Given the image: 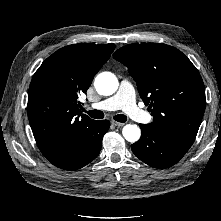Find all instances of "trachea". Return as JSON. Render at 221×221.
Here are the masks:
<instances>
[{"mask_svg": "<svg viewBox=\"0 0 221 221\" xmlns=\"http://www.w3.org/2000/svg\"><path fill=\"white\" fill-rule=\"evenodd\" d=\"M86 113L94 119H102L104 118V113L102 111L99 110H90V111H86ZM114 119L118 122L124 123L127 120V117L123 114H118L116 116H114Z\"/></svg>", "mask_w": 221, "mask_h": 221, "instance_id": "3493384b", "label": "trachea"}]
</instances>
